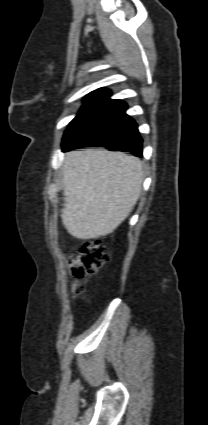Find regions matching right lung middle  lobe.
Returning <instances> with one entry per match:
<instances>
[{
    "mask_svg": "<svg viewBox=\"0 0 208 425\" xmlns=\"http://www.w3.org/2000/svg\"><path fill=\"white\" fill-rule=\"evenodd\" d=\"M97 96H98V94H93V93L88 94L87 96H85V98H84V105L83 106H85L86 104H88V103L92 102L93 100H95L97 98Z\"/></svg>",
    "mask_w": 208,
    "mask_h": 425,
    "instance_id": "obj_1",
    "label": "right lung middle lobe"
}]
</instances>
